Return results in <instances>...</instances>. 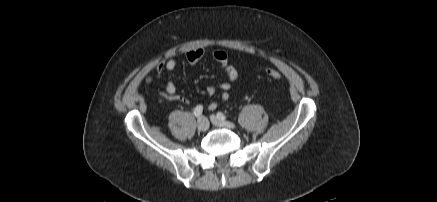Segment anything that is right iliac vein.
Returning <instances> with one entry per match:
<instances>
[{"mask_svg":"<svg viewBox=\"0 0 437 202\" xmlns=\"http://www.w3.org/2000/svg\"><path fill=\"white\" fill-rule=\"evenodd\" d=\"M197 128L199 131H206L209 128V122L207 120V118L205 117H200L197 121Z\"/></svg>","mask_w":437,"mask_h":202,"instance_id":"63e3f726","label":"right iliac vein"}]
</instances>
